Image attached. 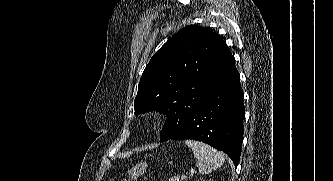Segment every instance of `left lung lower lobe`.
I'll return each mask as SVG.
<instances>
[{
    "label": "left lung lower lobe",
    "mask_w": 333,
    "mask_h": 181,
    "mask_svg": "<svg viewBox=\"0 0 333 181\" xmlns=\"http://www.w3.org/2000/svg\"><path fill=\"white\" fill-rule=\"evenodd\" d=\"M243 90L235 63L210 87L201 106L168 122L160 141L193 139L225 152L237 167L243 139Z\"/></svg>",
    "instance_id": "0a47b994"
}]
</instances>
